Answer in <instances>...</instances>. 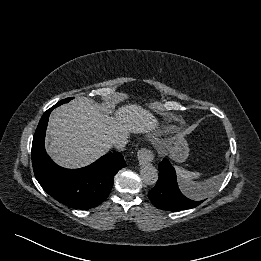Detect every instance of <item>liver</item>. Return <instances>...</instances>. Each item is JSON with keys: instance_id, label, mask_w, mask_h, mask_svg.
Listing matches in <instances>:
<instances>
[{"instance_id": "liver-1", "label": "liver", "mask_w": 261, "mask_h": 261, "mask_svg": "<svg viewBox=\"0 0 261 261\" xmlns=\"http://www.w3.org/2000/svg\"><path fill=\"white\" fill-rule=\"evenodd\" d=\"M157 125L155 116L139 104L122 106L112 117L94 100L83 97L51 114L47 152L60 166L80 168L106 154L117 138L147 133Z\"/></svg>"}]
</instances>
